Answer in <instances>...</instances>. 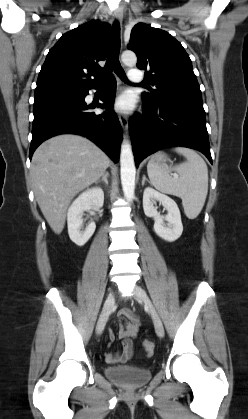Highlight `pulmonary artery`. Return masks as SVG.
<instances>
[{
  "instance_id": "e3ab8cb5",
  "label": "pulmonary artery",
  "mask_w": 248,
  "mask_h": 419,
  "mask_svg": "<svg viewBox=\"0 0 248 419\" xmlns=\"http://www.w3.org/2000/svg\"><path fill=\"white\" fill-rule=\"evenodd\" d=\"M128 78L130 81L138 83L143 80V75L138 68H131L128 73Z\"/></svg>"
}]
</instances>
